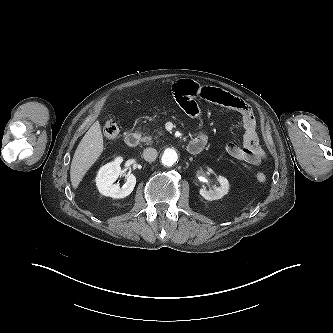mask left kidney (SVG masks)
<instances>
[{"mask_svg":"<svg viewBox=\"0 0 333 333\" xmlns=\"http://www.w3.org/2000/svg\"><path fill=\"white\" fill-rule=\"evenodd\" d=\"M217 179L218 182L220 183V186L216 187L214 190L208 191L205 188L200 189L199 193L204 199L209 201L217 200L221 199L224 195L228 193L229 181L227 180V178L219 176Z\"/></svg>","mask_w":333,"mask_h":333,"instance_id":"obj_1","label":"left kidney"}]
</instances>
